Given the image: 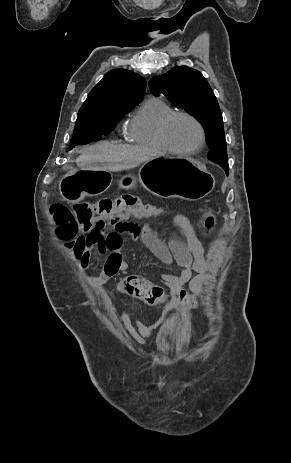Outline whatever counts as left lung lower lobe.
<instances>
[{"label":"left lung lower lobe","mask_w":291,"mask_h":463,"mask_svg":"<svg viewBox=\"0 0 291 463\" xmlns=\"http://www.w3.org/2000/svg\"><path fill=\"white\" fill-rule=\"evenodd\" d=\"M218 164L225 170L226 174H228V170H229L228 164H225V163H222V162H220Z\"/></svg>","instance_id":"1"}]
</instances>
